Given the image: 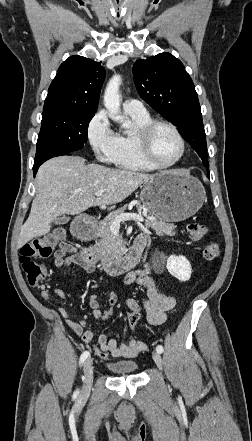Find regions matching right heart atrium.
<instances>
[{
    "label": "right heart atrium",
    "mask_w": 252,
    "mask_h": 441,
    "mask_svg": "<svg viewBox=\"0 0 252 441\" xmlns=\"http://www.w3.org/2000/svg\"><path fill=\"white\" fill-rule=\"evenodd\" d=\"M87 140L95 157L105 163L115 161L118 135L113 130L105 111L97 112L86 129Z\"/></svg>",
    "instance_id": "1"
}]
</instances>
